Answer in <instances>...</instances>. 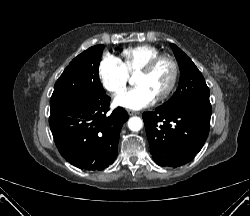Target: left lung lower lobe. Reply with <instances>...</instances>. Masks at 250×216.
<instances>
[{"mask_svg": "<svg viewBox=\"0 0 250 216\" xmlns=\"http://www.w3.org/2000/svg\"><path fill=\"white\" fill-rule=\"evenodd\" d=\"M142 117L153 160L176 168L190 162L203 147L211 110L195 105L170 111L158 107Z\"/></svg>", "mask_w": 250, "mask_h": 216, "instance_id": "left-lung-lower-lobe-1", "label": "left lung lower lobe"}]
</instances>
